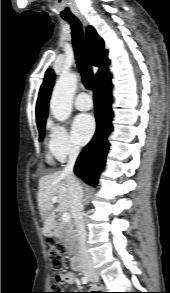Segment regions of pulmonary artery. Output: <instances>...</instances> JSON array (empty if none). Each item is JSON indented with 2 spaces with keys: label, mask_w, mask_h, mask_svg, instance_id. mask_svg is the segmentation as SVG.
<instances>
[{
  "label": "pulmonary artery",
  "mask_w": 170,
  "mask_h": 293,
  "mask_svg": "<svg viewBox=\"0 0 170 293\" xmlns=\"http://www.w3.org/2000/svg\"><path fill=\"white\" fill-rule=\"evenodd\" d=\"M74 104L78 110L87 111L92 108L93 101L87 93L81 92L76 97Z\"/></svg>",
  "instance_id": "1"
}]
</instances>
